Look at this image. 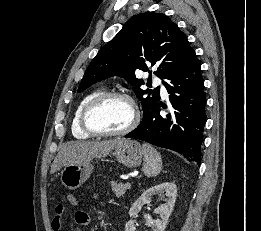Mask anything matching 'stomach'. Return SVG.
<instances>
[{"instance_id": "1", "label": "stomach", "mask_w": 261, "mask_h": 231, "mask_svg": "<svg viewBox=\"0 0 261 231\" xmlns=\"http://www.w3.org/2000/svg\"><path fill=\"white\" fill-rule=\"evenodd\" d=\"M112 155L124 166L135 168L141 164L144 153L137 141L124 140L115 146ZM93 168L90 161L66 165L61 172V182L68 189H76L90 177Z\"/></svg>"}]
</instances>
